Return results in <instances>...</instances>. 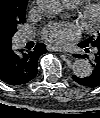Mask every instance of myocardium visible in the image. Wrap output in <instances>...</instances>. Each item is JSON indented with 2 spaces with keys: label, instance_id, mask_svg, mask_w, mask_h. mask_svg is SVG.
<instances>
[{
  "label": "myocardium",
  "instance_id": "obj_1",
  "mask_svg": "<svg viewBox=\"0 0 100 118\" xmlns=\"http://www.w3.org/2000/svg\"><path fill=\"white\" fill-rule=\"evenodd\" d=\"M80 14L82 20L85 23L89 25H94L98 20V15H99L98 6L95 3L91 2L90 0H87L86 3L82 6Z\"/></svg>",
  "mask_w": 100,
  "mask_h": 118
}]
</instances>
